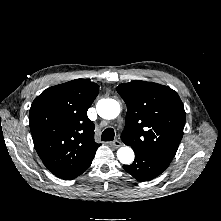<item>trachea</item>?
<instances>
[{
	"mask_svg": "<svg viewBox=\"0 0 221 221\" xmlns=\"http://www.w3.org/2000/svg\"><path fill=\"white\" fill-rule=\"evenodd\" d=\"M115 132L113 128H107L103 131L101 140L102 141H112L114 139Z\"/></svg>",
	"mask_w": 221,
	"mask_h": 221,
	"instance_id": "3493384b",
	"label": "trachea"
}]
</instances>
